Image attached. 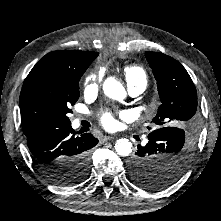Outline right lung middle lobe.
Masks as SVG:
<instances>
[{
  "label": "right lung middle lobe",
  "instance_id": "obj_1",
  "mask_svg": "<svg viewBox=\"0 0 221 221\" xmlns=\"http://www.w3.org/2000/svg\"><path fill=\"white\" fill-rule=\"evenodd\" d=\"M90 64L24 82L20 94L23 131H33L50 124H70L67 115L72 111L69 107L79 98V80ZM88 169L89 164L81 156L66 163L65 174H72L75 180L82 181ZM53 182L61 183L59 180Z\"/></svg>",
  "mask_w": 221,
  "mask_h": 221
}]
</instances>
